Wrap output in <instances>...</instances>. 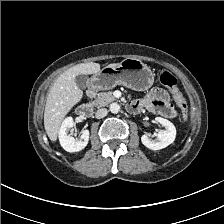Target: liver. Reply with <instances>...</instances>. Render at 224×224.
Masks as SVG:
<instances>
[{"label":"liver","mask_w":224,"mask_h":224,"mask_svg":"<svg viewBox=\"0 0 224 224\" xmlns=\"http://www.w3.org/2000/svg\"><path fill=\"white\" fill-rule=\"evenodd\" d=\"M118 64H110L117 66ZM100 70L98 63H82L62 73L50 88L44 111V127L51 141H56L61 123L67 113L81 101L83 92L77 87L75 77L90 75Z\"/></svg>","instance_id":"1"}]
</instances>
